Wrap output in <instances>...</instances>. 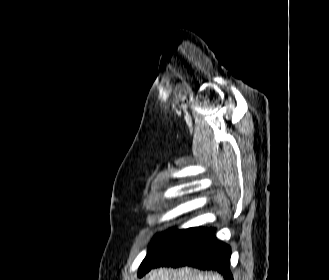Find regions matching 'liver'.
I'll return each mask as SVG.
<instances>
[{"label":"liver","instance_id":"obj_1","mask_svg":"<svg viewBox=\"0 0 329 280\" xmlns=\"http://www.w3.org/2000/svg\"><path fill=\"white\" fill-rule=\"evenodd\" d=\"M146 280H222L219 275L203 273L192 268H159L152 270Z\"/></svg>","mask_w":329,"mask_h":280}]
</instances>
